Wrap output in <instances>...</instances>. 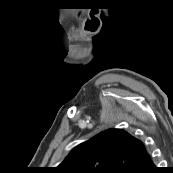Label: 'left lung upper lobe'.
<instances>
[{"instance_id": "left-lung-upper-lobe-1", "label": "left lung upper lobe", "mask_w": 173, "mask_h": 173, "mask_svg": "<svg viewBox=\"0 0 173 173\" xmlns=\"http://www.w3.org/2000/svg\"><path fill=\"white\" fill-rule=\"evenodd\" d=\"M145 145L122 129H109L75 147L58 173H138L150 161Z\"/></svg>"}]
</instances>
